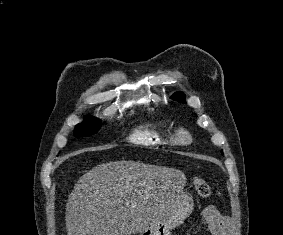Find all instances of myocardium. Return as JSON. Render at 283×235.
I'll list each match as a JSON object with an SVG mask.
<instances>
[{"label": "myocardium", "mask_w": 283, "mask_h": 235, "mask_svg": "<svg viewBox=\"0 0 283 235\" xmlns=\"http://www.w3.org/2000/svg\"><path fill=\"white\" fill-rule=\"evenodd\" d=\"M176 140L180 143H189L192 140V138L187 130L179 129L176 132Z\"/></svg>", "instance_id": "1"}]
</instances>
